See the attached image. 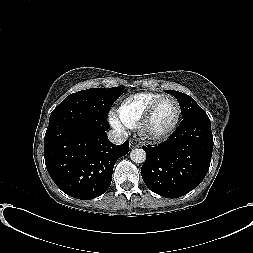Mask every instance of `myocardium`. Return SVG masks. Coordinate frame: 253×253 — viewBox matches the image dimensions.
I'll use <instances>...</instances> for the list:
<instances>
[{
	"mask_svg": "<svg viewBox=\"0 0 253 253\" xmlns=\"http://www.w3.org/2000/svg\"><path fill=\"white\" fill-rule=\"evenodd\" d=\"M164 99H171L174 101V103L176 105V117L169 128H167L163 132L155 133V132L150 131L149 126H150V123L153 119L156 108L158 107L159 103ZM181 112H182L181 105L176 97H174L173 95H169V94L161 95L160 97H158L156 100H154L151 103V105L146 110L143 118L139 122L138 129H139L140 134L144 138H146L150 141H154V142H159V141H163V140L167 139L177 128L178 123L181 118Z\"/></svg>",
	"mask_w": 253,
	"mask_h": 253,
	"instance_id": "f54148a6",
	"label": "myocardium"
}]
</instances>
